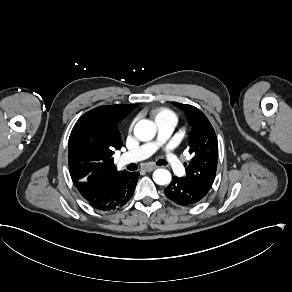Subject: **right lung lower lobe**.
<instances>
[{
    "mask_svg": "<svg viewBox=\"0 0 292 292\" xmlns=\"http://www.w3.org/2000/svg\"><path fill=\"white\" fill-rule=\"evenodd\" d=\"M138 177V172L123 171L108 180L76 187L92 207L111 211L128 202L135 190Z\"/></svg>",
    "mask_w": 292,
    "mask_h": 292,
    "instance_id": "obj_1",
    "label": "right lung lower lobe"
}]
</instances>
